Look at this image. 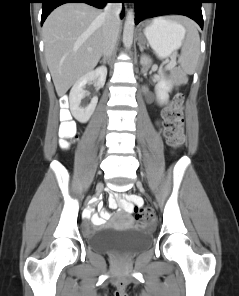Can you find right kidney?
Instances as JSON below:
<instances>
[{"label":"right kidney","instance_id":"obj_1","mask_svg":"<svg viewBox=\"0 0 239 296\" xmlns=\"http://www.w3.org/2000/svg\"><path fill=\"white\" fill-rule=\"evenodd\" d=\"M106 76L107 68L101 66L80 77L73 85L69 94L70 110L74 118L79 122L85 123L90 119L98 102V98L93 97L89 105L81 106V101L85 97V85L93 81L98 88H101L105 84Z\"/></svg>","mask_w":239,"mask_h":296}]
</instances>
